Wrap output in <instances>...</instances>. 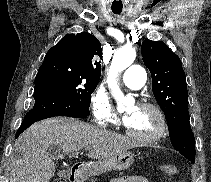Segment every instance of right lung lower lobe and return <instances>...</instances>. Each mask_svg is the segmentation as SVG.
I'll list each match as a JSON object with an SVG mask.
<instances>
[{
    "label": "right lung lower lobe",
    "mask_w": 211,
    "mask_h": 182,
    "mask_svg": "<svg viewBox=\"0 0 211 182\" xmlns=\"http://www.w3.org/2000/svg\"><path fill=\"white\" fill-rule=\"evenodd\" d=\"M35 104L16 133V138L34 122L54 116L83 118L90 114L89 108L77 104L68 95L49 86L43 79L35 80Z\"/></svg>",
    "instance_id": "98d812e1"
}]
</instances>
